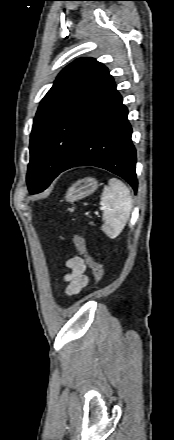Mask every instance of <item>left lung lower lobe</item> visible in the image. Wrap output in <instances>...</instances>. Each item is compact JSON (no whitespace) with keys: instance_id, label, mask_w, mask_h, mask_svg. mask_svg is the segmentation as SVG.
I'll return each instance as SVG.
<instances>
[{"instance_id":"1","label":"left lung lower lobe","mask_w":174,"mask_h":440,"mask_svg":"<svg viewBox=\"0 0 174 440\" xmlns=\"http://www.w3.org/2000/svg\"><path fill=\"white\" fill-rule=\"evenodd\" d=\"M122 96L113 83L95 107L60 173L77 166L91 165L124 178L137 192L136 151L132 128Z\"/></svg>"}]
</instances>
